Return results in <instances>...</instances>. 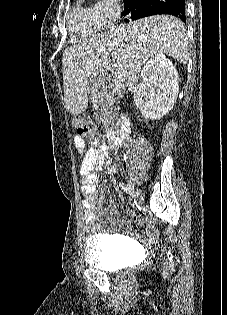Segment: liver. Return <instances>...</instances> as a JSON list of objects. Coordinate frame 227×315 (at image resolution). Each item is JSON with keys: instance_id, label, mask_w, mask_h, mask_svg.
I'll use <instances>...</instances> for the list:
<instances>
[{"instance_id": "liver-1", "label": "liver", "mask_w": 227, "mask_h": 315, "mask_svg": "<svg viewBox=\"0 0 227 315\" xmlns=\"http://www.w3.org/2000/svg\"><path fill=\"white\" fill-rule=\"evenodd\" d=\"M157 53L187 63L186 29L180 19L169 15L147 17L67 48L62 58L66 109L73 115L84 112L91 85L104 84L114 64L125 71L126 86L135 94L142 65Z\"/></svg>"}]
</instances>
